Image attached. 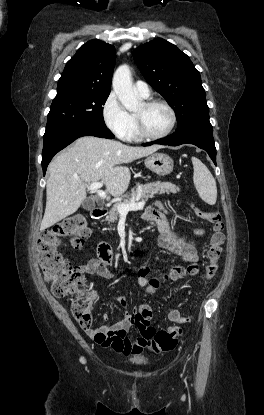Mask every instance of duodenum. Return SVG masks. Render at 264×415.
Masks as SVG:
<instances>
[{
  "instance_id": "1",
  "label": "duodenum",
  "mask_w": 264,
  "mask_h": 415,
  "mask_svg": "<svg viewBox=\"0 0 264 415\" xmlns=\"http://www.w3.org/2000/svg\"><path fill=\"white\" fill-rule=\"evenodd\" d=\"M107 212V209L103 206H96L92 210V215L94 219L100 220L102 219ZM97 254L99 259L104 263L112 262L113 260V252L111 250L110 245L105 241H99L97 244Z\"/></svg>"
}]
</instances>
